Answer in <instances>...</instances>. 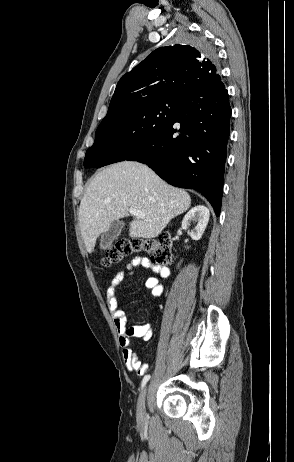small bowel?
Returning a JSON list of instances; mask_svg holds the SVG:
<instances>
[{"mask_svg": "<svg viewBox=\"0 0 294 462\" xmlns=\"http://www.w3.org/2000/svg\"><path fill=\"white\" fill-rule=\"evenodd\" d=\"M137 268L151 269L155 273V276L149 277L146 280L145 286L150 289L154 300L162 295L163 285L160 280L166 279L169 276V268L154 264L146 257H136L126 265L125 270L118 272L111 279L106 292V303L118 332L119 345L122 349L123 361L127 370L134 371L138 375H144L148 366L141 362L131 345L134 338L144 341L150 340L153 335L152 327L149 323H141L128 327L127 311L119 307L117 298V290L124 284L126 275H132Z\"/></svg>", "mask_w": 294, "mask_h": 462, "instance_id": "1", "label": "small bowel"}]
</instances>
